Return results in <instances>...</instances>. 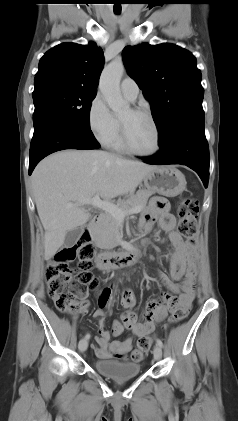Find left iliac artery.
<instances>
[{
    "label": "left iliac artery",
    "mask_w": 238,
    "mask_h": 421,
    "mask_svg": "<svg viewBox=\"0 0 238 421\" xmlns=\"http://www.w3.org/2000/svg\"><path fill=\"white\" fill-rule=\"evenodd\" d=\"M156 343L160 346L163 347V343L160 339H156Z\"/></svg>",
    "instance_id": "1"
}]
</instances>
